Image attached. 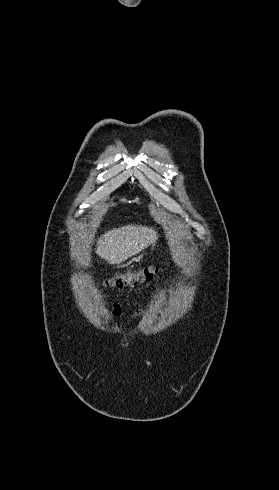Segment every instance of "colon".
Returning a JSON list of instances; mask_svg holds the SVG:
<instances>
[{
  "instance_id": "colon-1",
  "label": "colon",
  "mask_w": 279,
  "mask_h": 490,
  "mask_svg": "<svg viewBox=\"0 0 279 490\" xmlns=\"http://www.w3.org/2000/svg\"><path fill=\"white\" fill-rule=\"evenodd\" d=\"M157 272L158 269L156 267L145 266L137 271H128L115 274L109 278H106L104 283L108 287H131L149 280Z\"/></svg>"
}]
</instances>
